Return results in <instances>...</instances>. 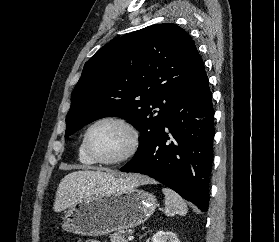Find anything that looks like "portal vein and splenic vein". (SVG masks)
<instances>
[{
  "label": "portal vein and splenic vein",
  "mask_w": 279,
  "mask_h": 242,
  "mask_svg": "<svg viewBox=\"0 0 279 242\" xmlns=\"http://www.w3.org/2000/svg\"><path fill=\"white\" fill-rule=\"evenodd\" d=\"M133 239H134L133 236H129V237H128V240H130V241L133 240Z\"/></svg>",
  "instance_id": "1"
}]
</instances>
